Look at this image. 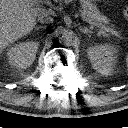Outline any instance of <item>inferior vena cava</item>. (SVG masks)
Here are the masks:
<instances>
[{
	"mask_svg": "<svg viewBox=\"0 0 128 128\" xmlns=\"http://www.w3.org/2000/svg\"><path fill=\"white\" fill-rule=\"evenodd\" d=\"M38 21L40 23H51L53 18L50 17L48 12H43L38 15Z\"/></svg>",
	"mask_w": 128,
	"mask_h": 128,
	"instance_id": "602c4592",
	"label": "inferior vena cava"
}]
</instances>
